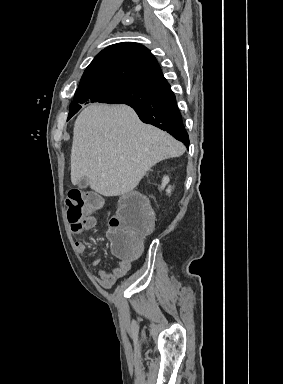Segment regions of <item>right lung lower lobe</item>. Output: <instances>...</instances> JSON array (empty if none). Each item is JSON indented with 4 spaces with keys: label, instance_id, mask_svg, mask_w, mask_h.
I'll use <instances>...</instances> for the list:
<instances>
[{
    "label": "right lung lower lobe",
    "instance_id": "obj_1",
    "mask_svg": "<svg viewBox=\"0 0 283 384\" xmlns=\"http://www.w3.org/2000/svg\"><path fill=\"white\" fill-rule=\"evenodd\" d=\"M129 106L136 111L141 121L167 131L189 148L188 133L183 125L175 95L168 83L159 88L149 102Z\"/></svg>",
    "mask_w": 283,
    "mask_h": 384
}]
</instances>
